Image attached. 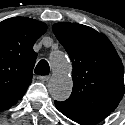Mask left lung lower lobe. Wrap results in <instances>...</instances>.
<instances>
[{
  "label": "left lung lower lobe",
  "mask_w": 125,
  "mask_h": 125,
  "mask_svg": "<svg viewBox=\"0 0 125 125\" xmlns=\"http://www.w3.org/2000/svg\"><path fill=\"white\" fill-rule=\"evenodd\" d=\"M56 108L60 111L57 105H56ZM63 114L66 117L70 118L71 120L78 122L80 124L93 125L104 120L110 113L105 112V113H97L92 115H81V114H70V113H63Z\"/></svg>",
  "instance_id": "obj_1"
}]
</instances>
